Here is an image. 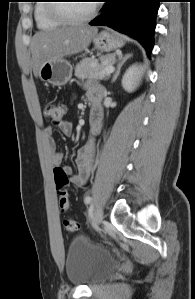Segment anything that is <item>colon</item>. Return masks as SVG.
Returning <instances> with one entry per match:
<instances>
[{
    "label": "colon",
    "mask_w": 195,
    "mask_h": 299,
    "mask_svg": "<svg viewBox=\"0 0 195 299\" xmlns=\"http://www.w3.org/2000/svg\"><path fill=\"white\" fill-rule=\"evenodd\" d=\"M67 107L63 102H49L44 107V115L54 126H59L64 119ZM56 191L59 196V207L61 211L69 209V198L67 194L68 175L63 168L57 166L53 169ZM64 227L68 232H75L80 228L78 221L68 218L64 220Z\"/></svg>",
    "instance_id": "obj_1"
}]
</instances>
